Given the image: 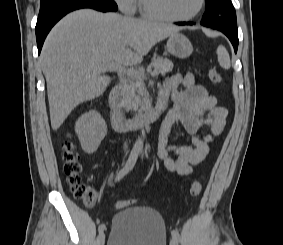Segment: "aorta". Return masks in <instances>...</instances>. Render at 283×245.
<instances>
[{"instance_id":"1","label":"aorta","mask_w":283,"mask_h":245,"mask_svg":"<svg viewBox=\"0 0 283 245\" xmlns=\"http://www.w3.org/2000/svg\"><path fill=\"white\" fill-rule=\"evenodd\" d=\"M135 149L138 150V151H142L143 150V140L142 138H138L135 142V145H134Z\"/></svg>"}]
</instances>
